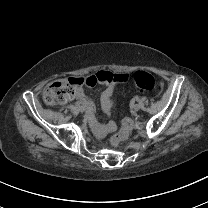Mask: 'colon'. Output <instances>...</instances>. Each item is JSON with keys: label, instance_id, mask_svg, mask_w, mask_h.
<instances>
[{"label": "colon", "instance_id": "colon-1", "mask_svg": "<svg viewBox=\"0 0 208 208\" xmlns=\"http://www.w3.org/2000/svg\"><path fill=\"white\" fill-rule=\"evenodd\" d=\"M124 79L117 77L113 72L100 71L87 79H59L55 83L47 84L42 90V99L49 106H58L70 101L76 92H80L83 87H94L101 84H111L115 89H120ZM134 82L142 91L150 92L153 95H161L163 84L154 76L138 71L134 74ZM121 132L113 136L114 140H122L128 132L135 128V123L131 119L121 121Z\"/></svg>", "mask_w": 208, "mask_h": 208}]
</instances>
